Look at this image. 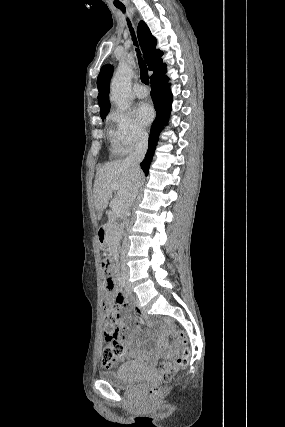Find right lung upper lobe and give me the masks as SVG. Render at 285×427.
I'll return each instance as SVG.
<instances>
[{
	"label": "right lung upper lobe",
	"mask_w": 285,
	"mask_h": 427,
	"mask_svg": "<svg viewBox=\"0 0 285 427\" xmlns=\"http://www.w3.org/2000/svg\"><path fill=\"white\" fill-rule=\"evenodd\" d=\"M139 42L144 54L145 61L149 70L153 71L151 80L163 77L166 72V64L162 62L163 52L156 49L157 40L152 36L147 25L141 21L137 28ZM113 68L111 65H105L101 68L97 78L98 103L100 106L101 118H105L110 110L109 103V82L112 77Z\"/></svg>",
	"instance_id": "right-lung-upper-lobe-1"
}]
</instances>
